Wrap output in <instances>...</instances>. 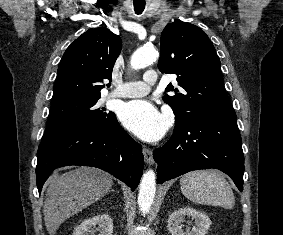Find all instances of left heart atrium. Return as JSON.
Instances as JSON below:
<instances>
[{"label": "left heart atrium", "instance_id": "1", "mask_svg": "<svg viewBox=\"0 0 283 235\" xmlns=\"http://www.w3.org/2000/svg\"><path fill=\"white\" fill-rule=\"evenodd\" d=\"M119 118L123 126L144 141H158L165 134L169 121L149 101L134 100L125 103Z\"/></svg>", "mask_w": 283, "mask_h": 235}]
</instances>
